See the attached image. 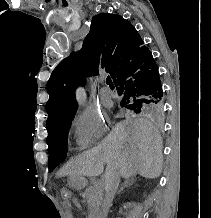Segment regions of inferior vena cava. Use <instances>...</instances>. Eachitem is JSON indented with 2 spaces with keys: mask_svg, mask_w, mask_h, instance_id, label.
<instances>
[{
  "mask_svg": "<svg viewBox=\"0 0 211 218\" xmlns=\"http://www.w3.org/2000/svg\"><path fill=\"white\" fill-rule=\"evenodd\" d=\"M120 182V174H117V172H106L105 174V198L103 200V210L104 212H108L112 202L113 198L118 190Z\"/></svg>",
  "mask_w": 211,
  "mask_h": 218,
  "instance_id": "obj_1",
  "label": "inferior vena cava"
}]
</instances>
